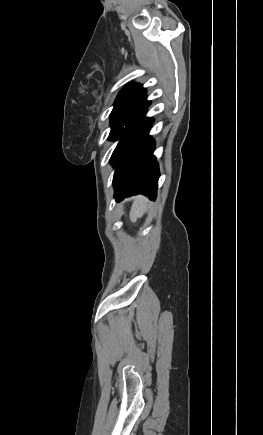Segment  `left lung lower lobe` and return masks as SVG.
Listing matches in <instances>:
<instances>
[{
    "mask_svg": "<svg viewBox=\"0 0 263 435\" xmlns=\"http://www.w3.org/2000/svg\"><path fill=\"white\" fill-rule=\"evenodd\" d=\"M145 113L146 110L120 134L111 157L116 168L113 185L117 202L139 193L151 200L156 198L159 169L153 156L155 143L148 135L152 120L145 118Z\"/></svg>",
    "mask_w": 263,
    "mask_h": 435,
    "instance_id": "left-lung-lower-lobe-1",
    "label": "left lung lower lobe"
}]
</instances>
